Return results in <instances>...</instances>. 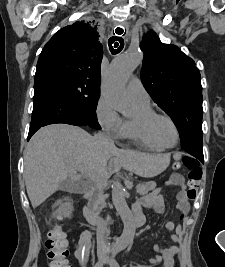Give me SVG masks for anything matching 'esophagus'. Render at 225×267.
Masks as SVG:
<instances>
[{
	"instance_id": "obj_1",
	"label": "esophagus",
	"mask_w": 225,
	"mask_h": 267,
	"mask_svg": "<svg viewBox=\"0 0 225 267\" xmlns=\"http://www.w3.org/2000/svg\"><path fill=\"white\" fill-rule=\"evenodd\" d=\"M118 27H120V28H121V27H123V28L126 27V28H127V23H123V24L119 25ZM118 27H117V28H118ZM115 30H116V29H115ZM115 30H114V32H115V34H117ZM117 35H118V34H117Z\"/></svg>"
}]
</instances>
